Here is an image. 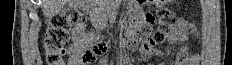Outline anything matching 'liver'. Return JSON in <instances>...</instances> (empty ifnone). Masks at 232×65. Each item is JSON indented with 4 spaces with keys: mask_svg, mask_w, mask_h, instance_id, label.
I'll return each mask as SVG.
<instances>
[{
    "mask_svg": "<svg viewBox=\"0 0 232 65\" xmlns=\"http://www.w3.org/2000/svg\"><path fill=\"white\" fill-rule=\"evenodd\" d=\"M43 3V14L45 17L52 18L57 15L68 2V0H41Z\"/></svg>",
    "mask_w": 232,
    "mask_h": 65,
    "instance_id": "1",
    "label": "liver"
}]
</instances>
